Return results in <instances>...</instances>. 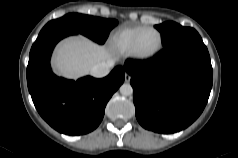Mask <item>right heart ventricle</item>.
I'll list each match as a JSON object with an SVG mask.
<instances>
[{
  "label": "right heart ventricle",
  "instance_id": "e07e8e85",
  "mask_svg": "<svg viewBox=\"0 0 238 158\" xmlns=\"http://www.w3.org/2000/svg\"><path fill=\"white\" fill-rule=\"evenodd\" d=\"M144 27L142 25H136L119 29L110 39L111 46L119 53H129L134 37Z\"/></svg>",
  "mask_w": 238,
  "mask_h": 158
}]
</instances>
